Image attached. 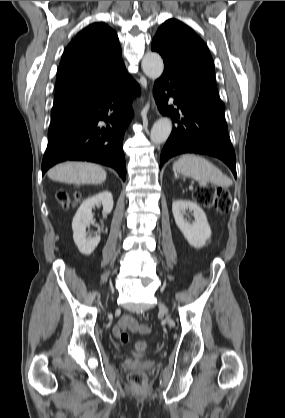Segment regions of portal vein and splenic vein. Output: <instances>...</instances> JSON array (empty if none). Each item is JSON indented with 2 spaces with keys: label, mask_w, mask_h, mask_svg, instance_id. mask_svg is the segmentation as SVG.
<instances>
[{
  "label": "portal vein and splenic vein",
  "mask_w": 285,
  "mask_h": 418,
  "mask_svg": "<svg viewBox=\"0 0 285 418\" xmlns=\"http://www.w3.org/2000/svg\"><path fill=\"white\" fill-rule=\"evenodd\" d=\"M200 185H206V183L205 182H201Z\"/></svg>",
  "instance_id": "18ae733b"
}]
</instances>
